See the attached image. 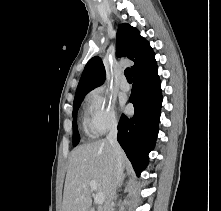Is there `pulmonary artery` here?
<instances>
[{
  "label": "pulmonary artery",
  "instance_id": "1",
  "mask_svg": "<svg viewBox=\"0 0 221 211\" xmlns=\"http://www.w3.org/2000/svg\"><path fill=\"white\" fill-rule=\"evenodd\" d=\"M120 88L123 91H128L130 89V86L125 77H122L120 80Z\"/></svg>",
  "mask_w": 221,
  "mask_h": 211
}]
</instances>
